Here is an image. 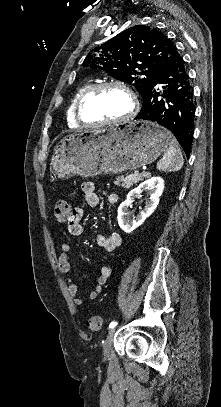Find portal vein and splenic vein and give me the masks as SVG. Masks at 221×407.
I'll list each match as a JSON object with an SVG mask.
<instances>
[{
	"label": "portal vein and splenic vein",
	"instance_id": "portal-vein-and-splenic-vein-1",
	"mask_svg": "<svg viewBox=\"0 0 221 407\" xmlns=\"http://www.w3.org/2000/svg\"><path fill=\"white\" fill-rule=\"evenodd\" d=\"M134 174L138 175V174H139V171H138V170H136V171L134 172Z\"/></svg>",
	"mask_w": 221,
	"mask_h": 407
}]
</instances>
